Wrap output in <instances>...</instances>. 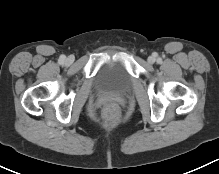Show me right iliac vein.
I'll list each match as a JSON object with an SVG mask.
<instances>
[{
    "label": "right iliac vein",
    "mask_w": 219,
    "mask_h": 174,
    "mask_svg": "<svg viewBox=\"0 0 219 174\" xmlns=\"http://www.w3.org/2000/svg\"><path fill=\"white\" fill-rule=\"evenodd\" d=\"M72 62H73L72 57H68V58L66 59V63H67V64H71Z\"/></svg>",
    "instance_id": "1"
}]
</instances>
